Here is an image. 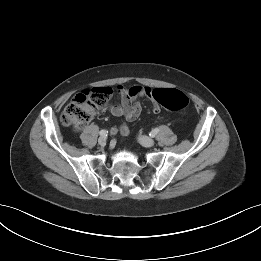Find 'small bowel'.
I'll use <instances>...</instances> for the list:
<instances>
[{
    "mask_svg": "<svg viewBox=\"0 0 261 261\" xmlns=\"http://www.w3.org/2000/svg\"><path fill=\"white\" fill-rule=\"evenodd\" d=\"M117 92L120 96V102L118 104L110 105L109 111L112 115L125 117L128 121H133L140 116L142 110L138 101L140 97L149 96L152 98V89L141 85H134L131 87L119 85L117 86ZM153 111L155 113L159 112V107L155 103ZM119 131L124 136L129 134V128L126 124L121 125Z\"/></svg>",
    "mask_w": 261,
    "mask_h": 261,
    "instance_id": "small-bowel-1",
    "label": "small bowel"
}]
</instances>
